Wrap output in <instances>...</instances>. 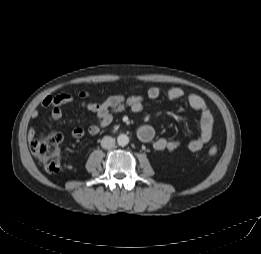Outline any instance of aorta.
Returning a JSON list of instances; mask_svg holds the SVG:
<instances>
[{
  "label": "aorta",
  "instance_id": "762f6f07",
  "mask_svg": "<svg viewBox=\"0 0 261 254\" xmlns=\"http://www.w3.org/2000/svg\"><path fill=\"white\" fill-rule=\"evenodd\" d=\"M117 143L120 146H126L129 143V137L126 134H120L117 137Z\"/></svg>",
  "mask_w": 261,
  "mask_h": 254
}]
</instances>
